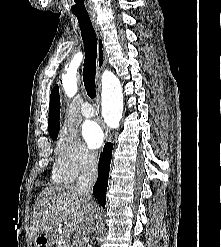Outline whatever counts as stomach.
Wrapping results in <instances>:
<instances>
[{"mask_svg":"<svg viewBox=\"0 0 221 247\" xmlns=\"http://www.w3.org/2000/svg\"><path fill=\"white\" fill-rule=\"evenodd\" d=\"M55 239V234L53 231L49 232H39L34 237L35 247H52Z\"/></svg>","mask_w":221,"mask_h":247,"instance_id":"1","label":"stomach"}]
</instances>
